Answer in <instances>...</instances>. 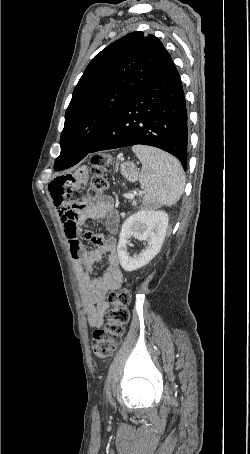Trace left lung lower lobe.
I'll return each mask as SVG.
<instances>
[{"instance_id": "left-lung-lower-lobe-1", "label": "left lung lower lobe", "mask_w": 250, "mask_h": 454, "mask_svg": "<svg viewBox=\"0 0 250 454\" xmlns=\"http://www.w3.org/2000/svg\"><path fill=\"white\" fill-rule=\"evenodd\" d=\"M187 139L184 91L178 71L170 59L120 109L88 153L137 144L149 145L177 157L186 170ZM86 155L75 157L63 154L56 159L54 168H70Z\"/></svg>"}]
</instances>
